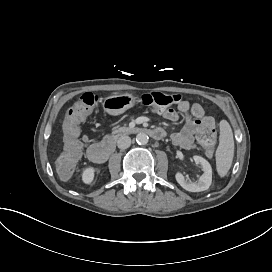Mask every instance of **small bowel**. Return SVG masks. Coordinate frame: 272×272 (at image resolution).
<instances>
[{
    "mask_svg": "<svg viewBox=\"0 0 272 272\" xmlns=\"http://www.w3.org/2000/svg\"><path fill=\"white\" fill-rule=\"evenodd\" d=\"M167 120L176 122L179 114H182L185 123L182 129L172 134L173 143L183 149L189 150L195 147L194 136L203 131L204 124L209 121L215 122L212 116L205 115L204 108L194 102L182 100L178 103L176 109H157ZM83 148L89 144L87 136L82 137Z\"/></svg>",
    "mask_w": 272,
    "mask_h": 272,
    "instance_id": "small-bowel-1",
    "label": "small bowel"
}]
</instances>
